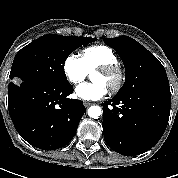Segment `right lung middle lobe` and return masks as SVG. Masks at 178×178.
Listing matches in <instances>:
<instances>
[{
	"instance_id": "dd1d6c3e",
	"label": "right lung middle lobe",
	"mask_w": 178,
	"mask_h": 178,
	"mask_svg": "<svg viewBox=\"0 0 178 178\" xmlns=\"http://www.w3.org/2000/svg\"><path fill=\"white\" fill-rule=\"evenodd\" d=\"M96 40L90 37L44 35L16 54L9 77L18 84L67 82L64 63L68 56L78 47Z\"/></svg>"
}]
</instances>
